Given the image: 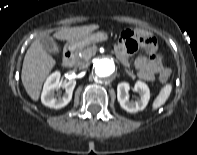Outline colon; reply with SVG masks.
Wrapping results in <instances>:
<instances>
[{"label":"colon","instance_id":"5ec220e1","mask_svg":"<svg viewBox=\"0 0 197 155\" xmlns=\"http://www.w3.org/2000/svg\"><path fill=\"white\" fill-rule=\"evenodd\" d=\"M121 38H127L129 40V48L131 49V51L137 50L142 45L146 46L150 42H156V39L153 37H149L145 39L141 38L140 40H136L133 38V33L129 29L122 32ZM170 74H171L170 69L166 68L161 75V79H160L161 82H165L169 78Z\"/></svg>","mask_w":197,"mask_h":155}]
</instances>
